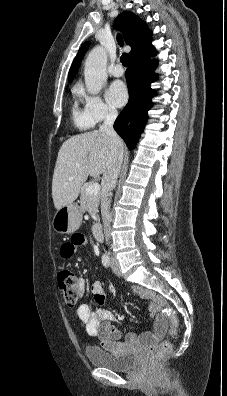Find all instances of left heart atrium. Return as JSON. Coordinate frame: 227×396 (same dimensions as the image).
Wrapping results in <instances>:
<instances>
[{"label":"left heart atrium","mask_w":227,"mask_h":396,"mask_svg":"<svg viewBox=\"0 0 227 396\" xmlns=\"http://www.w3.org/2000/svg\"><path fill=\"white\" fill-rule=\"evenodd\" d=\"M106 98L110 104L121 107L128 100V92L125 84L121 81L113 82L106 91Z\"/></svg>","instance_id":"1"}]
</instances>
